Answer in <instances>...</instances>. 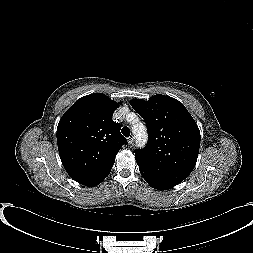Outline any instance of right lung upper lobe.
<instances>
[{
  "label": "right lung upper lobe",
  "mask_w": 253,
  "mask_h": 253,
  "mask_svg": "<svg viewBox=\"0 0 253 253\" xmlns=\"http://www.w3.org/2000/svg\"><path fill=\"white\" fill-rule=\"evenodd\" d=\"M119 103L102 93L78 99L57 127L59 155L69 176L92 187L110 173L115 156L127 140L112 120Z\"/></svg>",
  "instance_id": "1"
}]
</instances>
